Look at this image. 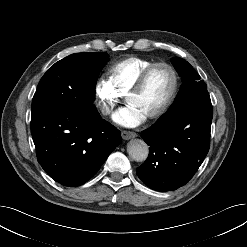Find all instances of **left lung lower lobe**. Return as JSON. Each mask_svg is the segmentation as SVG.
<instances>
[{"instance_id":"obj_1","label":"left lung lower lobe","mask_w":247,"mask_h":247,"mask_svg":"<svg viewBox=\"0 0 247 247\" xmlns=\"http://www.w3.org/2000/svg\"><path fill=\"white\" fill-rule=\"evenodd\" d=\"M213 108L207 90L166 112L141 137L150 146L137 175L156 191L176 190L196 173L210 147Z\"/></svg>"}]
</instances>
